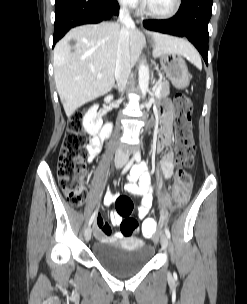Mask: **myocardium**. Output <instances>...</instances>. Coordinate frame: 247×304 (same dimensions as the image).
<instances>
[{
  "label": "myocardium",
  "instance_id": "obj_1",
  "mask_svg": "<svg viewBox=\"0 0 247 304\" xmlns=\"http://www.w3.org/2000/svg\"><path fill=\"white\" fill-rule=\"evenodd\" d=\"M181 4H182V0H174V6L169 12H167V13H156V12H154L150 9V7L148 6V4L146 2L144 4V12L148 16H150L154 19L168 20V19L173 18L178 13V11L180 10Z\"/></svg>",
  "mask_w": 247,
  "mask_h": 304
}]
</instances>
